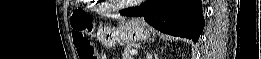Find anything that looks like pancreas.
I'll use <instances>...</instances> for the list:
<instances>
[{
  "mask_svg": "<svg viewBox=\"0 0 261 59\" xmlns=\"http://www.w3.org/2000/svg\"><path fill=\"white\" fill-rule=\"evenodd\" d=\"M133 48H134L133 44H127V46L124 48L122 59H133L130 53L133 50Z\"/></svg>",
  "mask_w": 261,
  "mask_h": 59,
  "instance_id": "1",
  "label": "pancreas"
}]
</instances>
